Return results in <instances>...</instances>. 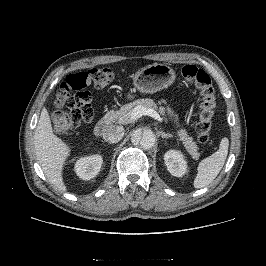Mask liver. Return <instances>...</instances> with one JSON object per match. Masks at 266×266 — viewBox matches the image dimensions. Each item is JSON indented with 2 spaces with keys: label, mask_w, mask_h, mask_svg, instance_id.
Here are the masks:
<instances>
[{
  "label": "liver",
  "mask_w": 266,
  "mask_h": 266,
  "mask_svg": "<svg viewBox=\"0 0 266 266\" xmlns=\"http://www.w3.org/2000/svg\"><path fill=\"white\" fill-rule=\"evenodd\" d=\"M36 157L48 181L60 192L67 190L62 177L66 158L71 147L57 137L52 129L48 110L44 107L35 130Z\"/></svg>",
  "instance_id": "1"
}]
</instances>
